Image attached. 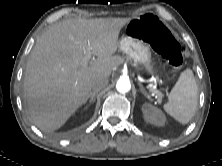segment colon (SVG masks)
<instances>
[{"label":"colon","instance_id":"5ec220e1","mask_svg":"<svg viewBox=\"0 0 222 166\" xmlns=\"http://www.w3.org/2000/svg\"><path fill=\"white\" fill-rule=\"evenodd\" d=\"M129 36L148 43L157 53L169 61L173 68L183 63L180 44L167 26L152 14H142L127 27Z\"/></svg>","mask_w":222,"mask_h":166}]
</instances>
